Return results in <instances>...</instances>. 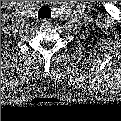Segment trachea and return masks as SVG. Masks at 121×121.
<instances>
[{
	"label": "trachea",
	"instance_id": "trachea-1",
	"mask_svg": "<svg viewBox=\"0 0 121 121\" xmlns=\"http://www.w3.org/2000/svg\"><path fill=\"white\" fill-rule=\"evenodd\" d=\"M51 10L48 6H42L38 11V18H50Z\"/></svg>",
	"mask_w": 121,
	"mask_h": 121
}]
</instances>
